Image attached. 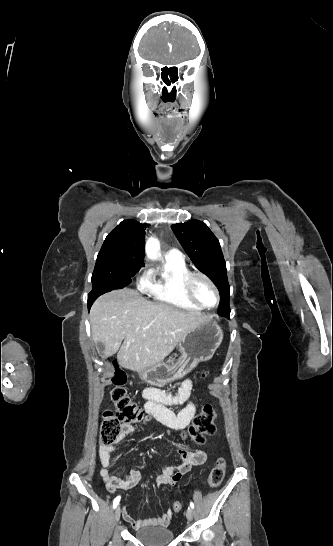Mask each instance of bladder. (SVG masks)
I'll return each mask as SVG.
<instances>
[{
	"mask_svg": "<svg viewBox=\"0 0 333 546\" xmlns=\"http://www.w3.org/2000/svg\"><path fill=\"white\" fill-rule=\"evenodd\" d=\"M134 536L146 546H166L175 537L172 530L161 526L141 528L134 533Z\"/></svg>",
	"mask_w": 333,
	"mask_h": 546,
	"instance_id": "1",
	"label": "bladder"
}]
</instances>
